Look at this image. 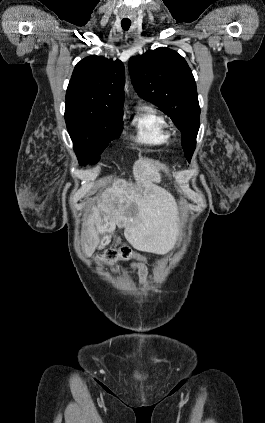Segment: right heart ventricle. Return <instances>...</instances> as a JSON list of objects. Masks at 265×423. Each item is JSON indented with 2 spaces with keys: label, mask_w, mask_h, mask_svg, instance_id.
<instances>
[{
  "label": "right heart ventricle",
  "mask_w": 265,
  "mask_h": 423,
  "mask_svg": "<svg viewBox=\"0 0 265 423\" xmlns=\"http://www.w3.org/2000/svg\"><path fill=\"white\" fill-rule=\"evenodd\" d=\"M136 139L148 145H164L170 140L171 133L165 118L153 107L140 105L132 120Z\"/></svg>",
  "instance_id": "1"
}]
</instances>
